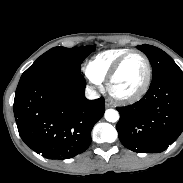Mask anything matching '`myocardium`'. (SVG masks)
<instances>
[{"mask_svg":"<svg viewBox=\"0 0 183 183\" xmlns=\"http://www.w3.org/2000/svg\"><path fill=\"white\" fill-rule=\"evenodd\" d=\"M131 54H138L142 57V59L145 62L146 66V76L144 79L143 84L141 87L135 91L134 93L128 94V95H121L113 91L112 89V81L115 78L116 74L118 73L121 65L125 61V59L130 56ZM152 80V67L149 58L146 56L145 53L138 49H130L127 52H125L123 55H121L111 66L110 70L107 73V76L105 78V85L108 93L112 98H114L116 101H119L121 103H133L141 99L148 91L150 84Z\"/></svg>","mask_w":183,"mask_h":183,"instance_id":"f54148a6","label":"myocardium"}]
</instances>
